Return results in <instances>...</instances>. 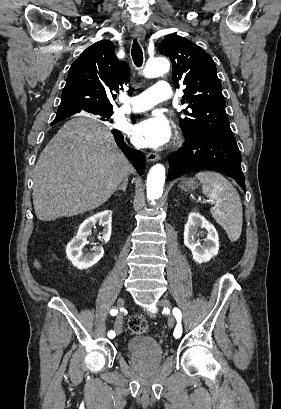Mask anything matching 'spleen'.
Instances as JSON below:
<instances>
[{"mask_svg":"<svg viewBox=\"0 0 281 409\" xmlns=\"http://www.w3.org/2000/svg\"><path fill=\"white\" fill-rule=\"evenodd\" d=\"M195 178L200 180L203 194L214 202L212 217L226 231L231 243H235L242 233L243 223L242 202L235 186L223 174L212 170L197 172Z\"/></svg>","mask_w":281,"mask_h":409,"instance_id":"obj_1","label":"spleen"}]
</instances>
